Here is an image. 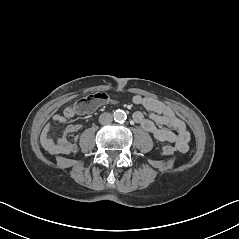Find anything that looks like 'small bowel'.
Segmentation results:
<instances>
[{
  "label": "small bowel",
  "instance_id": "obj_1",
  "mask_svg": "<svg viewBox=\"0 0 239 239\" xmlns=\"http://www.w3.org/2000/svg\"><path fill=\"white\" fill-rule=\"evenodd\" d=\"M133 103L144 107L149 111L146 118L143 113L135 112L133 120L145 131L151 133L155 139L162 142L173 143L177 150L186 152L189 148L190 134L185 123L175 114L173 109L163 102L146 96L135 95ZM73 107H66L62 114L53 116L52 121L47 123L41 133V143L45 150L52 155L70 154L77 150L76 137H69L80 129L79 124H71L57 137L52 136L55 124L64 123L76 113H85L93 109H81L72 111Z\"/></svg>",
  "mask_w": 239,
  "mask_h": 239
}]
</instances>
